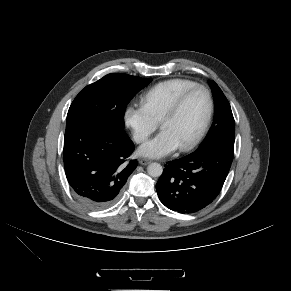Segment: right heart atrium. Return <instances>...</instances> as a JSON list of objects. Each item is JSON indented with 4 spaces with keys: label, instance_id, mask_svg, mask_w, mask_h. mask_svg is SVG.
<instances>
[{
    "label": "right heart atrium",
    "instance_id": "d8ad5b80",
    "mask_svg": "<svg viewBox=\"0 0 291 291\" xmlns=\"http://www.w3.org/2000/svg\"><path fill=\"white\" fill-rule=\"evenodd\" d=\"M123 119L137 143L144 142L158 127V121L142 105H128Z\"/></svg>",
    "mask_w": 291,
    "mask_h": 291
}]
</instances>
